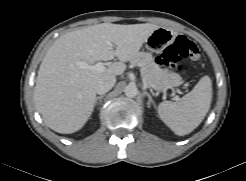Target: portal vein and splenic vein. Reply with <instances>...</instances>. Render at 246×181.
<instances>
[{
    "mask_svg": "<svg viewBox=\"0 0 246 181\" xmlns=\"http://www.w3.org/2000/svg\"><path fill=\"white\" fill-rule=\"evenodd\" d=\"M77 65L80 68L90 69L94 72H103L105 70V64L103 62H98L95 65H88L86 62L79 61L77 62ZM176 100H179V97H176Z\"/></svg>",
    "mask_w": 246,
    "mask_h": 181,
    "instance_id": "portal-vein-and-splenic-vein-1",
    "label": "portal vein and splenic vein"
}]
</instances>
